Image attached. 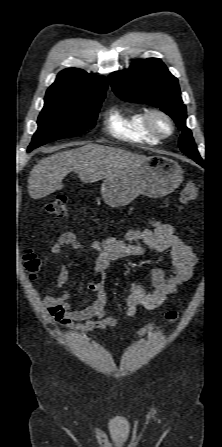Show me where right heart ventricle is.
I'll return each instance as SVG.
<instances>
[{
	"label": "right heart ventricle",
	"mask_w": 222,
	"mask_h": 447,
	"mask_svg": "<svg viewBox=\"0 0 222 447\" xmlns=\"http://www.w3.org/2000/svg\"><path fill=\"white\" fill-rule=\"evenodd\" d=\"M145 111L129 107L113 106L105 115L107 131L115 138L128 142L157 143L145 126Z\"/></svg>",
	"instance_id": "e07e8e85"
}]
</instances>
